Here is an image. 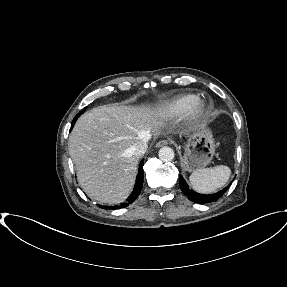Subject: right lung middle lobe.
Listing matches in <instances>:
<instances>
[{"instance_id": "right-lung-middle-lobe-1", "label": "right lung middle lobe", "mask_w": 287, "mask_h": 287, "mask_svg": "<svg viewBox=\"0 0 287 287\" xmlns=\"http://www.w3.org/2000/svg\"><path fill=\"white\" fill-rule=\"evenodd\" d=\"M85 110H86V107H85L79 114H82ZM79 114H77V115L74 117V119H73V121H72V125H73V124L75 123V121L77 120Z\"/></svg>"}]
</instances>
